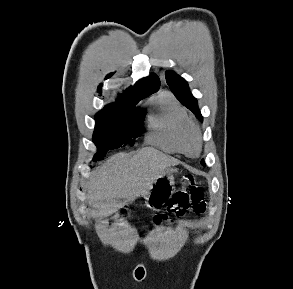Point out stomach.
I'll return each instance as SVG.
<instances>
[{
	"mask_svg": "<svg viewBox=\"0 0 293 289\" xmlns=\"http://www.w3.org/2000/svg\"><path fill=\"white\" fill-rule=\"evenodd\" d=\"M176 169L166 170L165 174L159 177L146 194V206L152 210H157L165 205L175 190L174 173Z\"/></svg>",
	"mask_w": 293,
	"mask_h": 289,
	"instance_id": "stomach-1",
	"label": "stomach"
}]
</instances>
